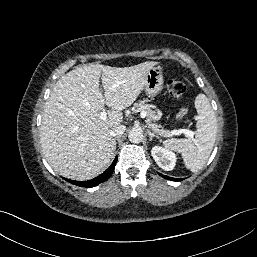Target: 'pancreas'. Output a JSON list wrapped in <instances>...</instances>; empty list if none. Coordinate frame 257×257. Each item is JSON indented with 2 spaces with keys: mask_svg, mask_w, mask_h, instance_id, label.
Here are the masks:
<instances>
[{
  "mask_svg": "<svg viewBox=\"0 0 257 257\" xmlns=\"http://www.w3.org/2000/svg\"><path fill=\"white\" fill-rule=\"evenodd\" d=\"M136 110L144 111L146 113V123L149 128H151L154 132L158 133L162 137H170L172 136L169 130L163 129L161 125L154 123L159 119L160 112H155L151 108L154 106L146 104L144 101H139L134 105Z\"/></svg>",
  "mask_w": 257,
  "mask_h": 257,
  "instance_id": "1",
  "label": "pancreas"
}]
</instances>
